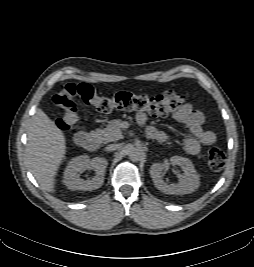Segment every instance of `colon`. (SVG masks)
<instances>
[{
    "label": "colon",
    "mask_w": 254,
    "mask_h": 267,
    "mask_svg": "<svg viewBox=\"0 0 254 267\" xmlns=\"http://www.w3.org/2000/svg\"><path fill=\"white\" fill-rule=\"evenodd\" d=\"M91 105L99 112H110L114 109L144 111L153 116H166L178 111L185 102V97L168 89L156 96L138 95L121 91L111 97L98 95L93 86L87 83H69L55 96L54 102L61 108L62 115L57 119V127L67 131L78 120L77 101ZM226 163V156L219 148L208 152V165L213 171H220Z\"/></svg>",
    "instance_id": "obj_1"
}]
</instances>
